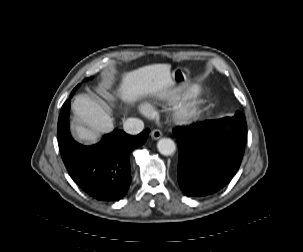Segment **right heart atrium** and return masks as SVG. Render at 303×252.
<instances>
[{"mask_svg": "<svg viewBox=\"0 0 303 252\" xmlns=\"http://www.w3.org/2000/svg\"><path fill=\"white\" fill-rule=\"evenodd\" d=\"M139 112H140L141 114H143V115H148V114H150L151 109H150V107H148L147 105H141V106L139 107Z\"/></svg>", "mask_w": 303, "mask_h": 252, "instance_id": "obj_1", "label": "right heart atrium"}]
</instances>
